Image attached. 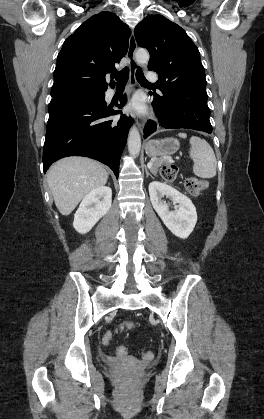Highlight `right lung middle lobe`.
Segmentation results:
<instances>
[{
	"label": "right lung middle lobe",
	"instance_id": "obj_1",
	"mask_svg": "<svg viewBox=\"0 0 264 419\" xmlns=\"http://www.w3.org/2000/svg\"><path fill=\"white\" fill-rule=\"evenodd\" d=\"M105 91H72L67 92L64 94L59 95L56 98L53 99H70V98H77V97H99L101 96Z\"/></svg>",
	"mask_w": 264,
	"mask_h": 419
}]
</instances>
